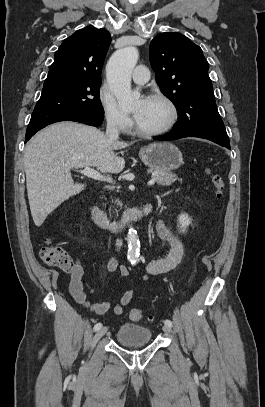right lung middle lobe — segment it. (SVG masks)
Returning a JSON list of instances; mask_svg holds the SVG:
<instances>
[{
	"label": "right lung middle lobe",
	"mask_w": 265,
	"mask_h": 407,
	"mask_svg": "<svg viewBox=\"0 0 265 407\" xmlns=\"http://www.w3.org/2000/svg\"><path fill=\"white\" fill-rule=\"evenodd\" d=\"M100 84L101 80L67 75L47 77L27 132H33L74 114L90 113L103 116L99 97Z\"/></svg>",
	"instance_id": "right-lung-middle-lobe-1"
}]
</instances>
